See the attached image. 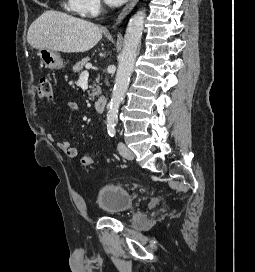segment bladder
Instances as JSON below:
<instances>
[{"instance_id": "obj_1", "label": "bladder", "mask_w": 255, "mask_h": 272, "mask_svg": "<svg viewBox=\"0 0 255 272\" xmlns=\"http://www.w3.org/2000/svg\"><path fill=\"white\" fill-rule=\"evenodd\" d=\"M96 204L103 213L117 216L131 209L133 197L124 187L107 184L98 189Z\"/></svg>"}]
</instances>
